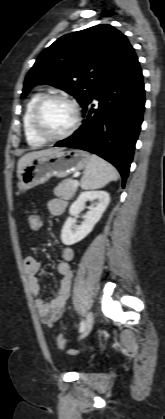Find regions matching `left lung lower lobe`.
Masks as SVG:
<instances>
[{
  "mask_svg": "<svg viewBox=\"0 0 165 419\" xmlns=\"http://www.w3.org/2000/svg\"><path fill=\"white\" fill-rule=\"evenodd\" d=\"M144 92L142 71L133 53L102 81L96 94L83 107L85 119L81 127L55 146L99 155L118 169L124 186L143 121Z\"/></svg>",
  "mask_w": 165,
  "mask_h": 419,
  "instance_id": "1",
  "label": "left lung lower lobe"
}]
</instances>
